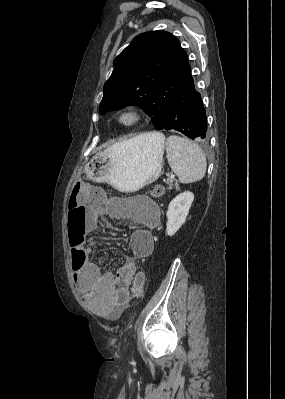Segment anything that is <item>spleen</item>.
I'll return each mask as SVG.
<instances>
[{"label": "spleen", "mask_w": 285, "mask_h": 399, "mask_svg": "<svg viewBox=\"0 0 285 399\" xmlns=\"http://www.w3.org/2000/svg\"><path fill=\"white\" fill-rule=\"evenodd\" d=\"M166 157L181 183H193L205 176V154L196 143L187 138L169 136L166 141Z\"/></svg>", "instance_id": "3e777b00"}]
</instances>
